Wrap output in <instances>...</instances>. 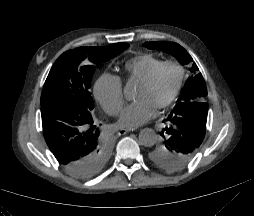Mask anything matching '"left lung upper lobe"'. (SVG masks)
<instances>
[{
    "instance_id": "1",
    "label": "left lung upper lobe",
    "mask_w": 254,
    "mask_h": 216,
    "mask_svg": "<svg viewBox=\"0 0 254 216\" xmlns=\"http://www.w3.org/2000/svg\"><path fill=\"white\" fill-rule=\"evenodd\" d=\"M144 46L170 53L182 64L192 62V57L174 42H146ZM192 71H198L195 63ZM207 89L201 73L189 77L177 103L166 120V127L160 133L164 140L150 148L148 157L159 168L177 172L191 162L204 139L208 104Z\"/></svg>"
}]
</instances>
